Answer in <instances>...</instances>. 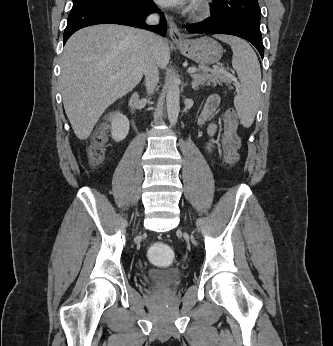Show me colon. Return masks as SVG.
<instances>
[{
    "label": "colon",
    "instance_id": "obj_1",
    "mask_svg": "<svg viewBox=\"0 0 333 346\" xmlns=\"http://www.w3.org/2000/svg\"><path fill=\"white\" fill-rule=\"evenodd\" d=\"M237 115L230 110L225 115V129L221 143L223 148V160L228 166H234L238 162V150L240 146L237 134ZM107 142V135L99 132L95 135L92 144L88 147L87 154L93 164H99L104 158L103 146ZM147 259L152 260L153 268H169L174 260V253L170 244H149Z\"/></svg>",
    "mask_w": 333,
    "mask_h": 346
}]
</instances>
